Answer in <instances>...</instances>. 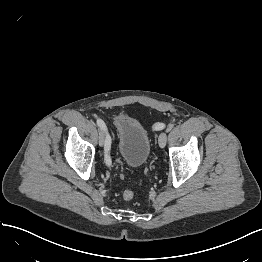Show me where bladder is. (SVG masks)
<instances>
[{"label":"bladder","mask_w":262,"mask_h":262,"mask_svg":"<svg viewBox=\"0 0 262 262\" xmlns=\"http://www.w3.org/2000/svg\"><path fill=\"white\" fill-rule=\"evenodd\" d=\"M118 152L121 160L130 167H141L149 158L151 142L144 126L129 115L115 119Z\"/></svg>","instance_id":"obj_1"}]
</instances>
